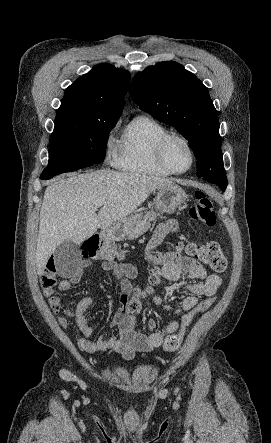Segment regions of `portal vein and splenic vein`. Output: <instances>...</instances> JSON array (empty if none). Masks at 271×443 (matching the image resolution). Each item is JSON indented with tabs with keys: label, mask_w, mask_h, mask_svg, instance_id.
Returning <instances> with one entry per match:
<instances>
[{
	"label": "portal vein and splenic vein",
	"mask_w": 271,
	"mask_h": 443,
	"mask_svg": "<svg viewBox=\"0 0 271 443\" xmlns=\"http://www.w3.org/2000/svg\"><path fill=\"white\" fill-rule=\"evenodd\" d=\"M104 204H105L104 200H101V202H95L94 208H96L97 210V208H101V206H104Z\"/></svg>",
	"instance_id": "portal-vein-and-splenic-vein-1"
}]
</instances>
